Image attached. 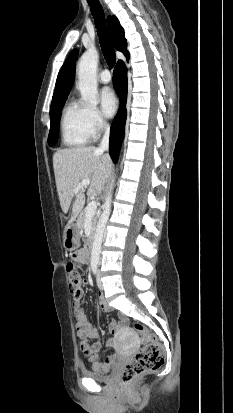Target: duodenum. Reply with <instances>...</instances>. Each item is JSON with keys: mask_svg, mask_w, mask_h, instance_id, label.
I'll list each match as a JSON object with an SVG mask.
<instances>
[{"mask_svg": "<svg viewBox=\"0 0 233 413\" xmlns=\"http://www.w3.org/2000/svg\"><path fill=\"white\" fill-rule=\"evenodd\" d=\"M93 242H94V238L93 236H90L86 243V247H85L86 254H89L91 252L93 248Z\"/></svg>", "mask_w": 233, "mask_h": 413, "instance_id": "1", "label": "duodenum"}]
</instances>
